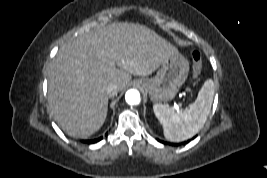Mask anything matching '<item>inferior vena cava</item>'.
<instances>
[{"label":"inferior vena cava","mask_w":267,"mask_h":178,"mask_svg":"<svg viewBox=\"0 0 267 178\" xmlns=\"http://www.w3.org/2000/svg\"><path fill=\"white\" fill-rule=\"evenodd\" d=\"M105 91H106V94L108 95V97H113L117 93V86L113 83H110L106 86Z\"/></svg>","instance_id":"1"}]
</instances>
